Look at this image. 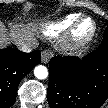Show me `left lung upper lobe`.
Returning <instances> with one entry per match:
<instances>
[{
	"label": "left lung upper lobe",
	"instance_id": "obj_1",
	"mask_svg": "<svg viewBox=\"0 0 108 108\" xmlns=\"http://www.w3.org/2000/svg\"><path fill=\"white\" fill-rule=\"evenodd\" d=\"M105 38H108V26H107V29L105 31V35H104V38L103 39H105Z\"/></svg>",
	"mask_w": 108,
	"mask_h": 108
}]
</instances>
